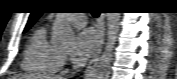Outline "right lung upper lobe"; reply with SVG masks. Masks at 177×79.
<instances>
[{
	"label": "right lung upper lobe",
	"instance_id": "obj_1",
	"mask_svg": "<svg viewBox=\"0 0 177 79\" xmlns=\"http://www.w3.org/2000/svg\"><path fill=\"white\" fill-rule=\"evenodd\" d=\"M41 14H42V12L31 13L26 26H32L37 21V19L41 16Z\"/></svg>",
	"mask_w": 177,
	"mask_h": 79
}]
</instances>
